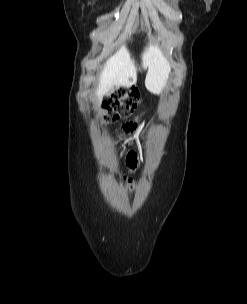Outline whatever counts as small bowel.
I'll list each match as a JSON object with an SVG mask.
<instances>
[{
    "label": "small bowel",
    "mask_w": 247,
    "mask_h": 304,
    "mask_svg": "<svg viewBox=\"0 0 247 304\" xmlns=\"http://www.w3.org/2000/svg\"><path fill=\"white\" fill-rule=\"evenodd\" d=\"M136 115L133 113V112H130L128 114V117L130 119H133ZM138 116V115H137ZM140 116V115H139ZM144 116V115H143ZM148 116V115H146ZM140 124V123H139ZM143 124V123H141ZM146 124H150V123H146ZM152 124V123H151ZM136 122L135 120H126L125 121V125L123 126V129L124 131L126 132H131L133 131V127H134V130L136 132H143L145 128L143 125H136ZM150 129V128H148ZM115 134V133H114ZM121 134V133H120ZM116 138V137H115ZM120 138V137H119ZM121 139L123 141H144L145 139L147 141H150L152 139V136L150 134H147L146 136L143 134H123L121 136ZM119 143V142H118ZM122 143V142H120ZM126 143H129V142H126ZM132 143V142H131ZM134 143H137V142H134ZM145 143V142H144ZM150 143V142H149ZM125 149V151L128 153L129 152V155L128 156H125L124 154L122 155L123 156V162L126 163L130 168H134L135 167V162H136V159H138V152H136V149L137 151L141 152L143 151V149H148V148H143V146L139 145L137 146H131V145H126L125 148H124V145L123 144H118L117 145V150L118 151H123ZM116 154L118 153L117 151L115 152Z\"/></svg>",
    "instance_id": "obj_1"
}]
</instances>
